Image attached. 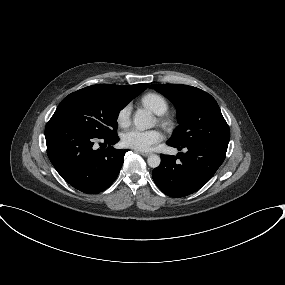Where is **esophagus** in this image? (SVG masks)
<instances>
[{"label": "esophagus", "instance_id": "34e87169", "mask_svg": "<svg viewBox=\"0 0 285 285\" xmlns=\"http://www.w3.org/2000/svg\"><path fill=\"white\" fill-rule=\"evenodd\" d=\"M139 154H141L142 156L144 157H148L151 155V153H148V152H143V151H137Z\"/></svg>", "mask_w": 285, "mask_h": 285}]
</instances>
